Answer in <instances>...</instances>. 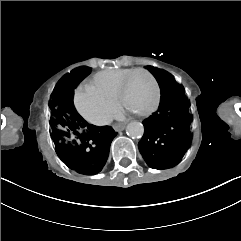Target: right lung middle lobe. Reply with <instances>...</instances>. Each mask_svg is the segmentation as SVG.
<instances>
[{
    "instance_id": "right-lung-middle-lobe-1",
    "label": "right lung middle lobe",
    "mask_w": 241,
    "mask_h": 241,
    "mask_svg": "<svg viewBox=\"0 0 241 241\" xmlns=\"http://www.w3.org/2000/svg\"><path fill=\"white\" fill-rule=\"evenodd\" d=\"M66 77H62L57 83L49 103L50 126L54 142L72 143L75 137L69 126L64 105L67 100H73V94L67 90Z\"/></svg>"
}]
</instances>
